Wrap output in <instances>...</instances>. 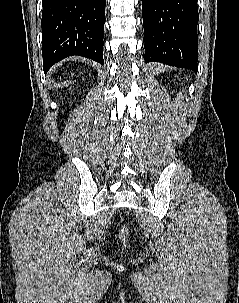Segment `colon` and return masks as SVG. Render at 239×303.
Segmentation results:
<instances>
[{
    "label": "colon",
    "mask_w": 239,
    "mask_h": 303,
    "mask_svg": "<svg viewBox=\"0 0 239 303\" xmlns=\"http://www.w3.org/2000/svg\"><path fill=\"white\" fill-rule=\"evenodd\" d=\"M128 228L126 226H123L119 231V237L121 239H126L128 236Z\"/></svg>",
    "instance_id": "colon-1"
}]
</instances>
